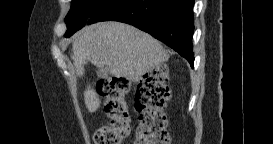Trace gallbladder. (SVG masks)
<instances>
[{
  "mask_svg": "<svg viewBox=\"0 0 273 144\" xmlns=\"http://www.w3.org/2000/svg\"><path fill=\"white\" fill-rule=\"evenodd\" d=\"M108 71H102V70H99L96 72V75L98 76V80H108Z\"/></svg>",
  "mask_w": 273,
  "mask_h": 144,
  "instance_id": "obj_1",
  "label": "gallbladder"
}]
</instances>
